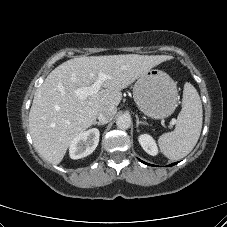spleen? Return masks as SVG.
Instances as JSON below:
<instances>
[{"mask_svg":"<svg viewBox=\"0 0 227 227\" xmlns=\"http://www.w3.org/2000/svg\"><path fill=\"white\" fill-rule=\"evenodd\" d=\"M203 110L200 96L190 83L184 84L182 109L172 132L161 135L158 144L161 152L171 160H179L195 147L201 133Z\"/></svg>","mask_w":227,"mask_h":227,"instance_id":"1","label":"spleen"}]
</instances>
